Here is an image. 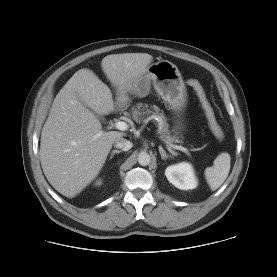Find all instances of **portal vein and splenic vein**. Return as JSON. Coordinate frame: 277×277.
I'll return each mask as SVG.
<instances>
[{
    "label": "portal vein and splenic vein",
    "mask_w": 277,
    "mask_h": 277,
    "mask_svg": "<svg viewBox=\"0 0 277 277\" xmlns=\"http://www.w3.org/2000/svg\"><path fill=\"white\" fill-rule=\"evenodd\" d=\"M115 128L118 130H121V131H125L128 129V124L123 121H118L115 123ZM169 146L172 147L173 149L182 151V152L186 153L187 155H189L188 149L183 146L173 145V144H169Z\"/></svg>",
    "instance_id": "obj_1"
}]
</instances>
